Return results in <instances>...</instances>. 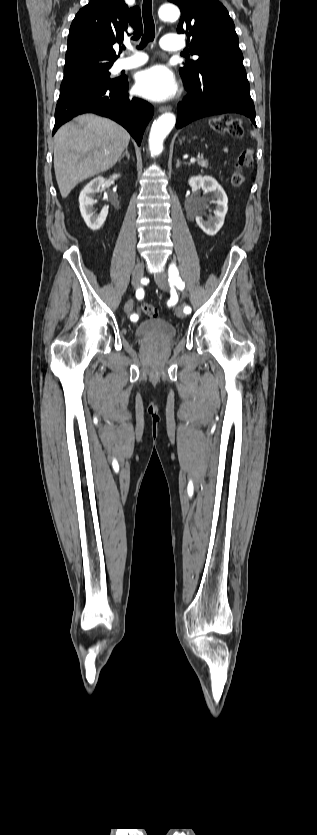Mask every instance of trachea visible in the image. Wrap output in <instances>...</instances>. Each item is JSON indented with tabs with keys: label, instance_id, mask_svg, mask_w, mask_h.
Returning a JSON list of instances; mask_svg holds the SVG:
<instances>
[{
	"label": "trachea",
	"instance_id": "trachea-1",
	"mask_svg": "<svg viewBox=\"0 0 317 835\" xmlns=\"http://www.w3.org/2000/svg\"><path fill=\"white\" fill-rule=\"evenodd\" d=\"M142 14L145 30L138 49L144 48L149 42H153L155 38V25L152 17V0H143Z\"/></svg>",
	"mask_w": 317,
	"mask_h": 835
}]
</instances>
